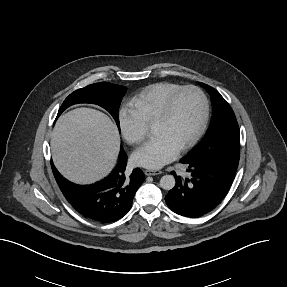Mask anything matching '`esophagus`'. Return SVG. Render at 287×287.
I'll return each mask as SVG.
<instances>
[{
    "label": "esophagus",
    "instance_id": "34e87169",
    "mask_svg": "<svg viewBox=\"0 0 287 287\" xmlns=\"http://www.w3.org/2000/svg\"><path fill=\"white\" fill-rule=\"evenodd\" d=\"M145 175L147 176H153V175H158L161 174L162 171L161 170H151V169H147L144 171Z\"/></svg>",
    "mask_w": 287,
    "mask_h": 287
}]
</instances>
